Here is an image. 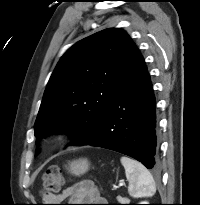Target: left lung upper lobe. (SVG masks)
<instances>
[{"label": "left lung upper lobe", "instance_id": "obj_1", "mask_svg": "<svg viewBox=\"0 0 200 205\" xmlns=\"http://www.w3.org/2000/svg\"><path fill=\"white\" fill-rule=\"evenodd\" d=\"M128 34L111 28L73 45L52 73L34 126L35 136L66 131L88 142L112 103L118 81L135 49Z\"/></svg>", "mask_w": 200, "mask_h": 205}]
</instances>
